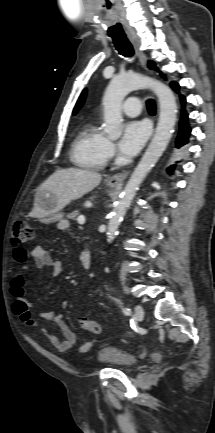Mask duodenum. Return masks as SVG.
Returning <instances> with one entry per match:
<instances>
[{
	"label": "duodenum",
	"instance_id": "duodenum-1",
	"mask_svg": "<svg viewBox=\"0 0 215 433\" xmlns=\"http://www.w3.org/2000/svg\"><path fill=\"white\" fill-rule=\"evenodd\" d=\"M80 262L85 269L90 270L92 267L90 252L88 251L82 252L80 255Z\"/></svg>",
	"mask_w": 215,
	"mask_h": 433
}]
</instances>
